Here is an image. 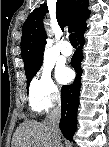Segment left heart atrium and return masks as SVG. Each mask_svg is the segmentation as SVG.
Masks as SVG:
<instances>
[{
	"label": "left heart atrium",
	"instance_id": "39dd6f15",
	"mask_svg": "<svg viewBox=\"0 0 109 147\" xmlns=\"http://www.w3.org/2000/svg\"><path fill=\"white\" fill-rule=\"evenodd\" d=\"M57 78L60 82H68L71 79V72L67 68H60L57 71Z\"/></svg>",
	"mask_w": 109,
	"mask_h": 147
}]
</instances>
